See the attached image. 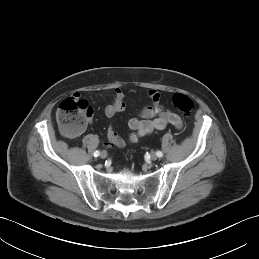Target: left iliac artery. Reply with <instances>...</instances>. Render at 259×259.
Wrapping results in <instances>:
<instances>
[{
  "label": "left iliac artery",
  "mask_w": 259,
  "mask_h": 259,
  "mask_svg": "<svg viewBox=\"0 0 259 259\" xmlns=\"http://www.w3.org/2000/svg\"><path fill=\"white\" fill-rule=\"evenodd\" d=\"M156 154H157L158 157H162L163 156V153L161 151H157Z\"/></svg>",
  "instance_id": "left-iliac-artery-1"
}]
</instances>
